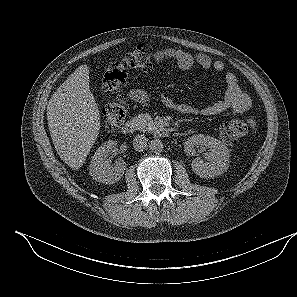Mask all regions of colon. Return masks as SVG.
<instances>
[{
	"mask_svg": "<svg viewBox=\"0 0 297 297\" xmlns=\"http://www.w3.org/2000/svg\"><path fill=\"white\" fill-rule=\"evenodd\" d=\"M151 61V50L143 46L126 53L106 69L102 86L107 93L111 94L112 98L103 111L106 129H115L125 120L127 110L122 91L127 83L128 71L131 69L147 70L151 66ZM251 127L252 123L249 119L231 120L222 124L220 135L224 142L236 143L247 135Z\"/></svg>",
	"mask_w": 297,
	"mask_h": 297,
	"instance_id": "colon-1",
	"label": "colon"
}]
</instances>
